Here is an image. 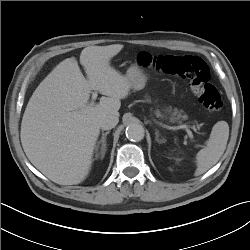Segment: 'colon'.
I'll use <instances>...</instances> for the list:
<instances>
[{"instance_id":"1","label":"colon","mask_w":250,"mask_h":250,"mask_svg":"<svg viewBox=\"0 0 250 250\" xmlns=\"http://www.w3.org/2000/svg\"><path fill=\"white\" fill-rule=\"evenodd\" d=\"M138 63L142 67L152 68L187 81L193 94L207 110L212 113L222 110L221 96L217 88L209 82V68L200 57L193 55H152L141 52L138 55Z\"/></svg>"}]
</instances>
